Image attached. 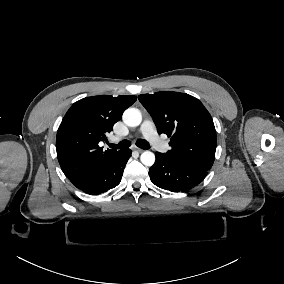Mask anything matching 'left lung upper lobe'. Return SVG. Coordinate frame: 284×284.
Instances as JSON below:
<instances>
[{"instance_id": "obj_1", "label": "left lung upper lobe", "mask_w": 284, "mask_h": 284, "mask_svg": "<svg viewBox=\"0 0 284 284\" xmlns=\"http://www.w3.org/2000/svg\"><path fill=\"white\" fill-rule=\"evenodd\" d=\"M138 98L158 133L171 137L172 149L165 153L169 159L204 170L212 167L216 130L211 115L197 98L179 92L141 94Z\"/></svg>"}]
</instances>
